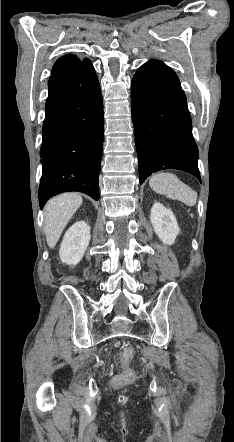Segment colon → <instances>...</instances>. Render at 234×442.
Listing matches in <instances>:
<instances>
[{
  "instance_id": "colon-1",
  "label": "colon",
  "mask_w": 234,
  "mask_h": 442,
  "mask_svg": "<svg viewBox=\"0 0 234 442\" xmlns=\"http://www.w3.org/2000/svg\"><path fill=\"white\" fill-rule=\"evenodd\" d=\"M134 355L135 349L132 346H128L124 349L122 362L125 366V369L123 373L115 377L114 381L112 382V387L114 389H125L128 384L138 383V376L134 375L133 371L128 367Z\"/></svg>"
}]
</instances>
